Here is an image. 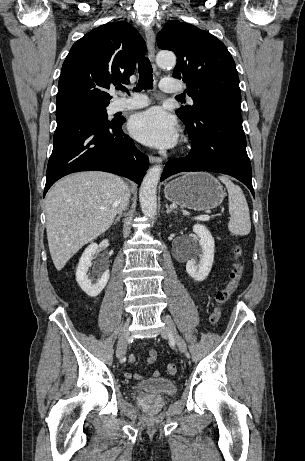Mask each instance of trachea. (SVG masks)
Returning <instances> with one entry per match:
<instances>
[{
	"label": "trachea",
	"mask_w": 305,
	"mask_h": 461,
	"mask_svg": "<svg viewBox=\"0 0 305 461\" xmlns=\"http://www.w3.org/2000/svg\"><path fill=\"white\" fill-rule=\"evenodd\" d=\"M138 71H139V82L136 88H134V90L136 92H140L143 89H151L153 86V74H152L153 71H152L151 63L147 57L143 58L139 62ZM118 89L128 92V90L124 87H119ZM176 98L181 101L184 100V98L181 96H177Z\"/></svg>",
	"instance_id": "3493384b"
}]
</instances>
